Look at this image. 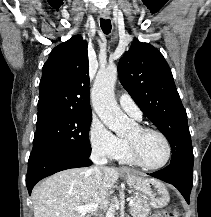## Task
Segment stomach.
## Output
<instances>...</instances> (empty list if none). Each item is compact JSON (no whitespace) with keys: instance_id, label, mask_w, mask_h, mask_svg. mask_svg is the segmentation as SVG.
I'll return each mask as SVG.
<instances>
[{"instance_id":"obj_1","label":"stomach","mask_w":211,"mask_h":217,"mask_svg":"<svg viewBox=\"0 0 211 217\" xmlns=\"http://www.w3.org/2000/svg\"><path fill=\"white\" fill-rule=\"evenodd\" d=\"M129 186L138 192L153 208H163L170 201V195L165 185L153 178H144L139 174L122 173Z\"/></svg>"}]
</instances>
